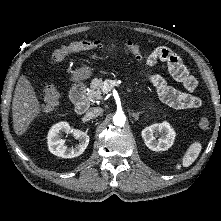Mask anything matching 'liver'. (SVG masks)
Wrapping results in <instances>:
<instances>
[{"label":"liver","instance_id":"liver-1","mask_svg":"<svg viewBox=\"0 0 221 221\" xmlns=\"http://www.w3.org/2000/svg\"><path fill=\"white\" fill-rule=\"evenodd\" d=\"M41 105L33 86L25 75H22L15 88L12 101L13 127L17 135H23L31 122L39 116Z\"/></svg>","mask_w":221,"mask_h":221}]
</instances>
